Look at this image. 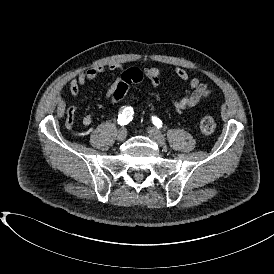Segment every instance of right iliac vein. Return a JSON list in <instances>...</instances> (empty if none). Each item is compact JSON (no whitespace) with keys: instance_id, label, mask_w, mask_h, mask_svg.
Instances as JSON below:
<instances>
[{"instance_id":"63e3f726","label":"right iliac vein","mask_w":274,"mask_h":274,"mask_svg":"<svg viewBox=\"0 0 274 274\" xmlns=\"http://www.w3.org/2000/svg\"><path fill=\"white\" fill-rule=\"evenodd\" d=\"M126 136H127V130L125 128H121L118 130V132H117V140L118 141L125 140Z\"/></svg>"}]
</instances>
